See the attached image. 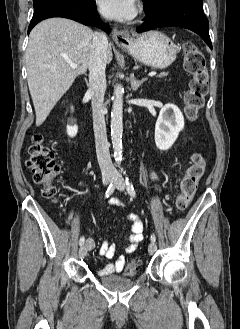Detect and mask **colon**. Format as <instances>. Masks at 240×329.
Listing matches in <instances>:
<instances>
[{
  "mask_svg": "<svg viewBox=\"0 0 240 329\" xmlns=\"http://www.w3.org/2000/svg\"><path fill=\"white\" fill-rule=\"evenodd\" d=\"M184 68L191 75L188 89L185 91V113L188 119H196L204 105L208 93V71L203 53L192 43L183 48ZM28 166L33 173L34 182L42 186V194L51 201H57V189L61 183L60 164L55 160L52 148L45 142L43 135L35 134L29 148ZM203 156L194 152L191 164L180 183V192L176 198V208L185 210L191 203L198 183L205 172ZM138 263L131 261L126 267L127 275L138 271Z\"/></svg>",
  "mask_w": 240,
  "mask_h": 329,
  "instance_id": "obj_1",
  "label": "colon"
}]
</instances>
